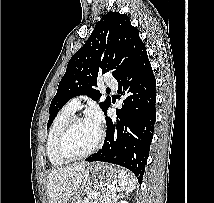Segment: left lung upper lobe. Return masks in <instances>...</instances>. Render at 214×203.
I'll use <instances>...</instances> for the list:
<instances>
[{
	"mask_svg": "<svg viewBox=\"0 0 214 203\" xmlns=\"http://www.w3.org/2000/svg\"><path fill=\"white\" fill-rule=\"evenodd\" d=\"M144 49L139 30L131 25L127 15L118 12L104 14L85 45L68 62L66 73L50 104L47 127L71 98L87 95L97 101L101 97L100 92L94 88L97 86V77L111 72L117 80ZM110 103L109 97L100 103L104 113Z\"/></svg>",
	"mask_w": 214,
	"mask_h": 203,
	"instance_id": "1",
	"label": "left lung upper lobe"
}]
</instances>
